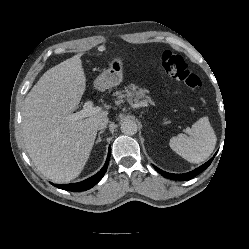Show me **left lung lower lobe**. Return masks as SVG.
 <instances>
[{"instance_id": "obj_1", "label": "left lung lower lobe", "mask_w": 249, "mask_h": 249, "mask_svg": "<svg viewBox=\"0 0 249 249\" xmlns=\"http://www.w3.org/2000/svg\"><path fill=\"white\" fill-rule=\"evenodd\" d=\"M212 160H213V158H211L208 162L201 165L197 169H195V170H193L191 172L185 173V174H172V173L162 171L161 169L157 168L156 166H154V168L161 175H163L166 178L173 179V180H189V179L195 177L196 175H198L199 173H201L203 170H205L211 164Z\"/></svg>"}]
</instances>
